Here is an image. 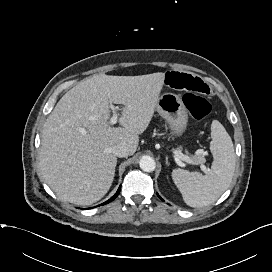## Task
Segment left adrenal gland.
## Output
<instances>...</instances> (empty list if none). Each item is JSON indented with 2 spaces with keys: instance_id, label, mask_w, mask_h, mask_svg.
Masks as SVG:
<instances>
[{
  "instance_id": "a2214340",
  "label": "left adrenal gland",
  "mask_w": 272,
  "mask_h": 272,
  "mask_svg": "<svg viewBox=\"0 0 272 272\" xmlns=\"http://www.w3.org/2000/svg\"><path fill=\"white\" fill-rule=\"evenodd\" d=\"M166 164L169 165V162H168V157H166Z\"/></svg>"
}]
</instances>
